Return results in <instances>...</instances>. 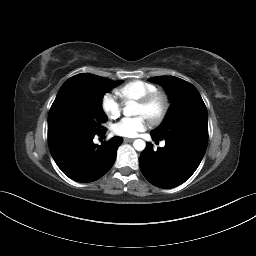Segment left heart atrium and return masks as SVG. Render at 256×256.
Segmentation results:
<instances>
[{
    "label": "left heart atrium",
    "mask_w": 256,
    "mask_h": 256,
    "mask_svg": "<svg viewBox=\"0 0 256 256\" xmlns=\"http://www.w3.org/2000/svg\"><path fill=\"white\" fill-rule=\"evenodd\" d=\"M148 127L146 116H138L135 118H125L116 123L113 131L116 135L122 137H135L138 133L144 131Z\"/></svg>",
    "instance_id": "1"
}]
</instances>
